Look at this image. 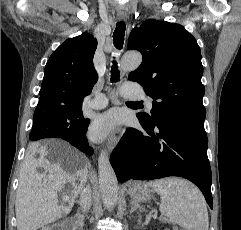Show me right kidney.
I'll list each match as a JSON object with an SVG mask.
<instances>
[{
    "instance_id": "obj_1",
    "label": "right kidney",
    "mask_w": 241,
    "mask_h": 230,
    "mask_svg": "<svg viewBox=\"0 0 241 230\" xmlns=\"http://www.w3.org/2000/svg\"><path fill=\"white\" fill-rule=\"evenodd\" d=\"M42 230H48V228H43Z\"/></svg>"
}]
</instances>
